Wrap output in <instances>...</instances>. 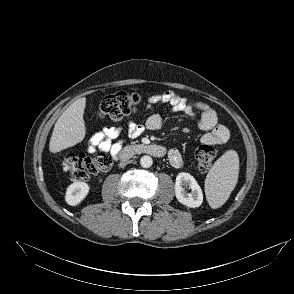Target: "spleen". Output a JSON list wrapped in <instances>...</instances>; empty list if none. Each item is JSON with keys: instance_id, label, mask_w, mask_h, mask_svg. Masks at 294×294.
<instances>
[{"instance_id": "3e777b00", "label": "spleen", "mask_w": 294, "mask_h": 294, "mask_svg": "<svg viewBox=\"0 0 294 294\" xmlns=\"http://www.w3.org/2000/svg\"><path fill=\"white\" fill-rule=\"evenodd\" d=\"M239 174V157L236 151L224 153L210 169L205 180V193L209 205L219 208L234 190Z\"/></svg>"}]
</instances>
